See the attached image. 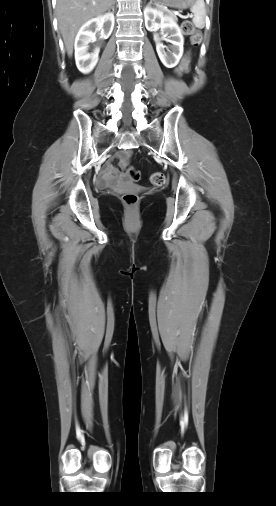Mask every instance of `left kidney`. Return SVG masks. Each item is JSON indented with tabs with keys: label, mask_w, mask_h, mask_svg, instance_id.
Listing matches in <instances>:
<instances>
[{
	"label": "left kidney",
	"mask_w": 276,
	"mask_h": 506,
	"mask_svg": "<svg viewBox=\"0 0 276 506\" xmlns=\"http://www.w3.org/2000/svg\"><path fill=\"white\" fill-rule=\"evenodd\" d=\"M144 18L147 30L156 31L160 28L162 33L170 35L169 42L172 45L169 53L164 50L165 46L160 42L157 33L154 34V40L161 62L168 68L175 67L183 55L184 38L179 26L171 17L163 15V12L150 6L145 8Z\"/></svg>",
	"instance_id": "5707ae66"
}]
</instances>
